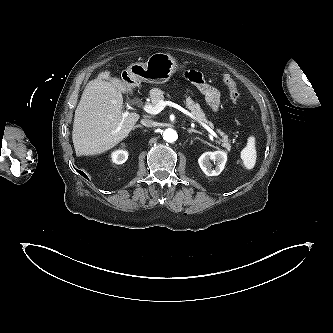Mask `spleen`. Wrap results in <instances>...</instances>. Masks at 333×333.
I'll list each match as a JSON object with an SVG mask.
<instances>
[{"mask_svg":"<svg viewBox=\"0 0 333 333\" xmlns=\"http://www.w3.org/2000/svg\"><path fill=\"white\" fill-rule=\"evenodd\" d=\"M256 149H255V138L250 136L247 141L246 147L241 151V159L244 167L247 170L254 168L256 163Z\"/></svg>","mask_w":333,"mask_h":333,"instance_id":"1","label":"spleen"}]
</instances>
